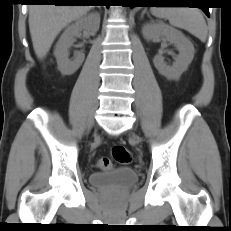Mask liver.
<instances>
[{
  "mask_svg": "<svg viewBox=\"0 0 231 231\" xmlns=\"http://www.w3.org/2000/svg\"><path fill=\"white\" fill-rule=\"evenodd\" d=\"M90 9L87 5H31L28 22L37 57L44 58L59 32Z\"/></svg>",
  "mask_w": 231,
  "mask_h": 231,
  "instance_id": "obj_1",
  "label": "liver"
}]
</instances>
